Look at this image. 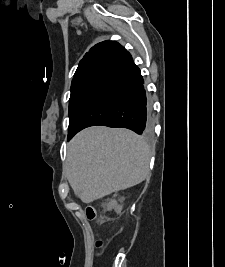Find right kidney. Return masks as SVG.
Masks as SVG:
<instances>
[{
	"label": "right kidney",
	"instance_id": "right-kidney-1",
	"mask_svg": "<svg viewBox=\"0 0 225 267\" xmlns=\"http://www.w3.org/2000/svg\"><path fill=\"white\" fill-rule=\"evenodd\" d=\"M106 207L108 210L114 209L116 213H121L122 210V205H118L115 200H110L107 204Z\"/></svg>",
	"mask_w": 225,
	"mask_h": 267
}]
</instances>
